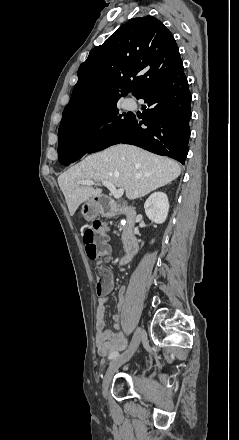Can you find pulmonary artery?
Masks as SVG:
<instances>
[{"mask_svg":"<svg viewBox=\"0 0 239 440\" xmlns=\"http://www.w3.org/2000/svg\"><path fill=\"white\" fill-rule=\"evenodd\" d=\"M124 106H125V108H127V109H133V108L135 107V102L132 101V100H126V101L124 102Z\"/></svg>","mask_w":239,"mask_h":440,"instance_id":"obj_1","label":"pulmonary artery"}]
</instances>
